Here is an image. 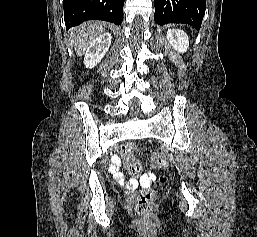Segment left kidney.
Segmentation results:
<instances>
[{"mask_svg": "<svg viewBox=\"0 0 257 237\" xmlns=\"http://www.w3.org/2000/svg\"><path fill=\"white\" fill-rule=\"evenodd\" d=\"M166 38L170 45L179 53H184L189 47V39L185 32L177 29H169Z\"/></svg>", "mask_w": 257, "mask_h": 237, "instance_id": "obj_1", "label": "left kidney"}]
</instances>
